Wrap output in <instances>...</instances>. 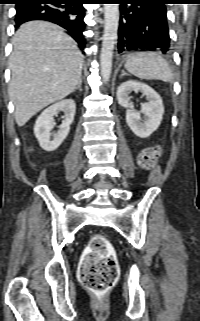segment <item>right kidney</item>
<instances>
[{"label":"right kidney","mask_w":200,"mask_h":321,"mask_svg":"<svg viewBox=\"0 0 200 321\" xmlns=\"http://www.w3.org/2000/svg\"><path fill=\"white\" fill-rule=\"evenodd\" d=\"M76 104L72 99L59 101L47 109L37 118L34 126V134L40 146L46 151L56 150L65 140L70 131V125L74 120ZM58 112L64 113V120L57 132H52L54 116Z\"/></svg>","instance_id":"right-kidney-1"}]
</instances>
